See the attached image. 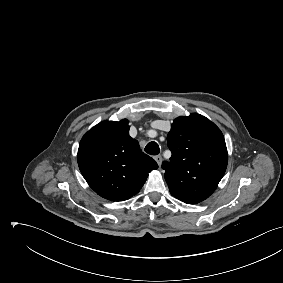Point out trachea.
Listing matches in <instances>:
<instances>
[{
    "instance_id": "trachea-1",
    "label": "trachea",
    "mask_w": 283,
    "mask_h": 283,
    "mask_svg": "<svg viewBox=\"0 0 283 283\" xmlns=\"http://www.w3.org/2000/svg\"><path fill=\"white\" fill-rule=\"evenodd\" d=\"M144 150L150 155H158L160 153L159 145L154 141L149 142Z\"/></svg>"
}]
</instances>
